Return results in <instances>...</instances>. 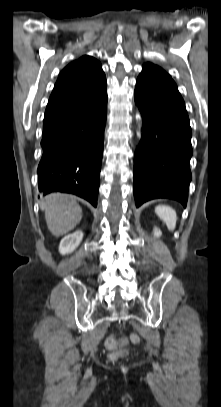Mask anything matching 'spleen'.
<instances>
[{
  "label": "spleen",
  "mask_w": 221,
  "mask_h": 407,
  "mask_svg": "<svg viewBox=\"0 0 221 407\" xmlns=\"http://www.w3.org/2000/svg\"><path fill=\"white\" fill-rule=\"evenodd\" d=\"M155 213L161 220H163L166 223L167 228L169 230L173 231L175 229L177 222V214L173 208L166 205H158L155 208Z\"/></svg>",
  "instance_id": "1"
}]
</instances>
